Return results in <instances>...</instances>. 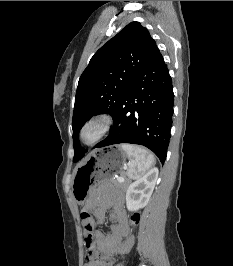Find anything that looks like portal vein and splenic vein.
Instances as JSON below:
<instances>
[{
  "instance_id": "1",
  "label": "portal vein and splenic vein",
  "mask_w": 233,
  "mask_h": 266,
  "mask_svg": "<svg viewBox=\"0 0 233 266\" xmlns=\"http://www.w3.org/2000/svg\"><path fill=\"white\" fill-rule=\"evenodd\" d=\"M117 180H118L119 182H123L125 179H124L123 177H117Z\"/></svg>"
}]
</instances>
